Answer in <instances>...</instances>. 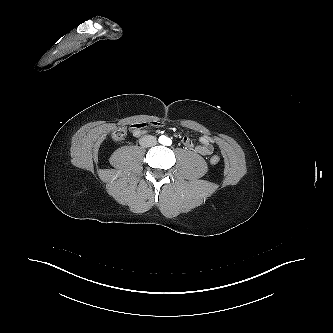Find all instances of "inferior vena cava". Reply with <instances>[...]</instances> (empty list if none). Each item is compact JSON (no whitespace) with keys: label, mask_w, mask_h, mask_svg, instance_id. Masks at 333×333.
Instances as JSON below:
<instances>
[{"label":"inferior vena cava","mask_w":333,"mask_h":333,"mask_svg":"<svg viewBox=\"0 0 333 333\" xmlns=\"http://www.w3.org/2000/svg\"><path fill=\"white\" fill-rule=\"evenodd\" d=\"M157 140L154 136L152 135H145L144 137H142L140 140H139V144L142 146V147H151V146H154L156 144Z\"/></svg>","instance_id":"1"}]
</instances>
